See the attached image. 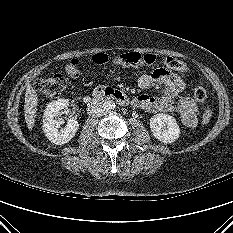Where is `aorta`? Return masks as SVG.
Listing matches in <instances>:
<instances>
[{
  "label": "aorta",
  "instance_id": "obj_1",
  "mask_svg": "<svg viewBox=\"0 0 233 233\" xmlns=\"http://www.w3.org/2000/svg\"><path fill=\"white\" fill-rule=\"evenodd\" d=\"M115 107H116V104L114 101L109 100V101L105 102V111L110 112V111L114 110Z\"/></svg>",
  "mask_w": 233,
  "mask_h": 233
}]
</instances>
